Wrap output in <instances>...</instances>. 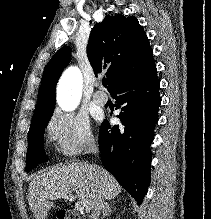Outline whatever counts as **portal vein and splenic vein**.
<instances>
[{"label": "portal vein and splenic vein", "instance_id": "portal-vein-and-splenic-vein-1", "mask_svg": "<svg viewBox=\"0 0 211 219\" xmlns=\"http://www.w3.org/2000/svg\"><path fill=\"white\" fill-rule=\"evenodd\" d=\"M51 199H57V198H64L66 200H69L70 202L74 201L76 197L73 194H60V193H54L50 195ZM75 209L77 211H82L84 208L80 204V202H76L75 204Z\"/></svg>", "mask_w": 211, "mask_h": 219}]
</instances>
